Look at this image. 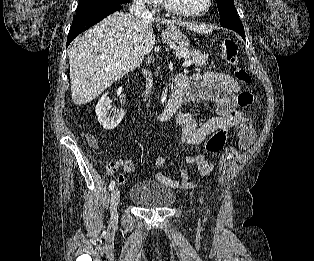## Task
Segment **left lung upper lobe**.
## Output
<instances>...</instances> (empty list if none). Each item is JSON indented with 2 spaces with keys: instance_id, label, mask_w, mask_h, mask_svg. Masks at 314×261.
<instances>
[{
  "instance_id": "obj_1",
  "label": "left lung upper lobe",
  "mask_w": 314,
  "mask_h": 261,
  "mask_svg": "<svg viewBox=\"0 0 314 261\" xmlns=\"http://www.w3.org/2000/svg\"><path fill=\"white\" fill-rule=\"evenodd\" d=\"M216 3L221 16V25L236 32H244L243 25L237 15L233 0H216Z\"/></svg>"
}]
</instances>
